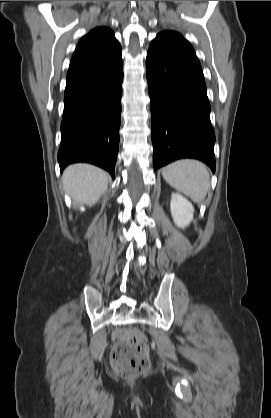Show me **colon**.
I'll return each instance as SVG.
<instances>
[{"label":"colon","mask_w":271,"mask_h":418,"mask_svg":"<svg viewBox=\"0 0 271 418\" xmlns=\"http://www.w3.org/2000/svg\"><path fill=\"white\" fill-rule=\"evenodd\" d=\"M114 347L111 352L113 370L126 377L145 372L150 366L146 337L135 329L114 333Z\"/></svg>","instance_id":"5ec220e1"}]
</instances>
